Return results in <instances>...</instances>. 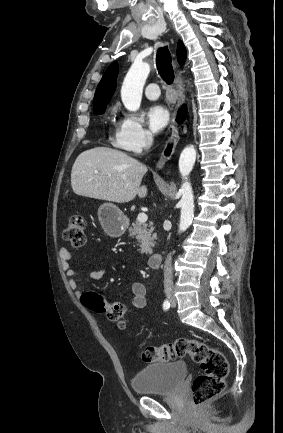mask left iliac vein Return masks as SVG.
<instances>
[{"mask_svg": "<svg viewBox=\"0 0 283 433\" xmlns=\"http://www.w3.org/2000/svg\"><path fill=\"white\" fill-rule=\"evenodd\" d=\"M171 307H176V299L172 298Z\"/></svg>", "mask_w": 283, "mask_h": 433, "instance_id": "left-iliac-vein-1", "label": "left iliac vein"}]
</instances>
